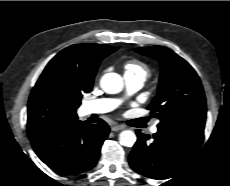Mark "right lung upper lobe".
<instances>
[{"instance_id":"right-lung-upper-lobe-1","label":"right lung upper lobe","mask_w":230,"mask_h":186,"mask_svg":"<svg viewBox=\"0 0 230 186\" xmlns=\"http://www.w3.org/2000/svg\"><path fill=\"white\" fill-rule=\"evenodd\" d=\"M116 50L108 45L77 44L63 49L48 63L28 102L27 134L31 141L78 121V89L93 85L100 61Z\"/></svg>"}]
</instances>
